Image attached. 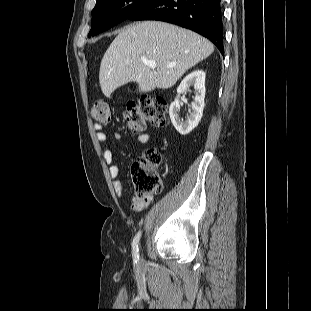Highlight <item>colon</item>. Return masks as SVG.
<instances>
[{
	"label": "colon",
	"instance_id": "1",
	"mask_svg": "<svg viewBox=\"0 0 311 311\" xmlns=\"http://www.w3.org/2000/svg\"><path fill=\"white\" fill-rule=\"evenodd\" d=\"M167 103L163 97L144 95L136 101L129 102L124 117L129 129L141 133L147 123L157 127L166 124ZM92 118L101 124L111 120V111L108 103L97 100L91 108ZM161 163V154L156 149H147L141 160L132 166L131 177L135 192L138 196L153 195L160 191L162 174L158 170Z\"/></svg>",
	"mask_w": 311,
	"mask_h": 311
}]
</instances>
